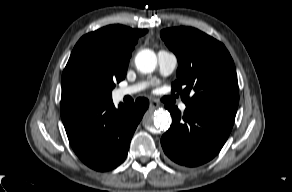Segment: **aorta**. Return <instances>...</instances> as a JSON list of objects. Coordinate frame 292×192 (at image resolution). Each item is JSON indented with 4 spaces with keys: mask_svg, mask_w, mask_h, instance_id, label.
Segmentation results:
<instances>
[{
    "mask_svg": "<svg viewBox=\"0 0 292 192\" xmlns=\"http://www.w3.org/2000/svg\"><path fill=\"white\" fill-rule=\"evenodd\" d=\"M137 69L142 73H150L154 71L157 65V58L153 51L142 50L135 57ZM171 115L168 111L156 110L153 116H146L143 119V125L149 130L166 131L171 124Z\"/></svg>",
    "mask_w": 292,
    "mask_h": 192,
    "instance_id": "1",
    "label": "aorta"
}]
</instances>
